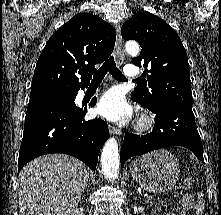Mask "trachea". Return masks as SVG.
I'll list each match as a JSON object with an SVG mask.
<instances>
[{"label":"trachea","mask_w":221,"mask_h":215,"mask_svg":"<svg viewBox=\"0 0 221 215\" xmlns=\"http://www.w3.org/2000/svg\"><path fill=\"white\" fill-rule=\"evenodd\" d=\"M108 71L117 80H122V81L127 80L126 77L122 74V72L116 67L114 57L111 56L109 59H107L104 62V64L99 68V70L93 75V79L91 83H100Z\"/></svg>","instance_id":"obj_1"}]
</instances>
